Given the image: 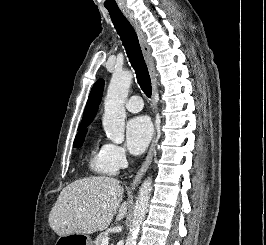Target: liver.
I'll return each instance as SVG.
<instances>
[{
    "mask_svg": "<svg viewBox=\"0 0 266 245\" xmlns=\"http://www.w3.org/2000/svg\"><path fill=\"white\" fill-rule=\"evenodd\" d=\"M111 177H86L62 189L49 215V225L59 237L108 229L116 211V221L127 215L124 189Z\"/></svg>",
    "mask_w": 266,
    "mask_h": 245,
    "instance_id": "liver-1",
    "label": "liver"
}]
</instances>
